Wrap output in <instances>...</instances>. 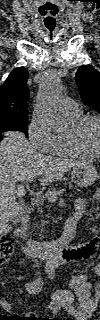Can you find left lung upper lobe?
Segmentation results:
<instances>
[{"label": "left lung upper lobe", "instance_id": "1", "mask_svg": "<svg viewBox=\"0 0 100 320\" xmlns=\"http://www.w3.org/2000/svg\"><path fill=\"white\" fill-rule=\"evenodd\" d=\"M75 80L82 100L100 112V72L90 65H83L79 67Z\"/></svg>", "mask_w": 100, "mask_h": 320}]
</instances>
